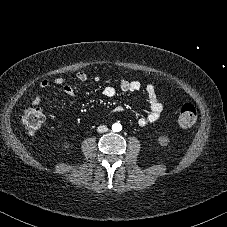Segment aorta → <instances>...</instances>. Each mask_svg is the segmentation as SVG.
<instances>
[{"label": "aorta", "instance_id": "aorta-1", "mask_svg": "<svg viewBox=\"0 0 227 227\" xmlns=\"http://www.w3.org/2000/svg\"><path fill=\"white\" fill-rule=\"evenodd\" d=\"M113 130L114 131H120L121 130V125L120 124H114L113 125Z\"/></svg>", "mask_w": 227, "mask_h": 227}]
</instances>
